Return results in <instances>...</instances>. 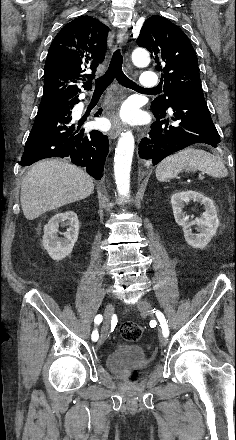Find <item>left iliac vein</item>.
I'll return each instance as SVG.
<instances>
[{
  "label": "left iliac vein",
  "instance_id": "4c4485c4",
  "mask_svg": "<svg viewBox=\"0 0 236 440\" xmlns=\"http://www.w3.org/2000/svg\"><path fill=\"white\" fill-rule=\"evenodd\" d=\"M138 308H139V310H140V312L142 314H148V315H150L152 317L155 316L154 312H153L152 305L148 301H146V300H140L139 303H138ZM159 341H160L161 346H165L166 345L167 340H166V337L163 334H160Z\"/></svg>",
  "mask_w": 236,
  "mask_h": 440
}]
</instances>
